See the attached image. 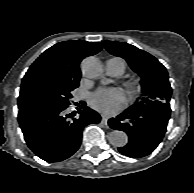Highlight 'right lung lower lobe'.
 Returning <instances> with one entry per match:
<instances>
[{
    "label": "right lung lower lobe",
    "instance_id": "98d812e1",
    "mask_svg": "<svg viewBox=\"0 0 194 193\" xmlns=\"http://www.w3.org/2000/svg\"><path fill=\"white\" fill-rule=\"evenodd\" d=\"M76 109H82L78 110V118H72L75 111L69 113L68 107L19 109L18 120L28 147L47 162H59L72 156L80 147L83 128L101 119L88 107Z\"/></svg>",
    "mask_w": 194,
    "mask_h": 193
}]
</instances>
